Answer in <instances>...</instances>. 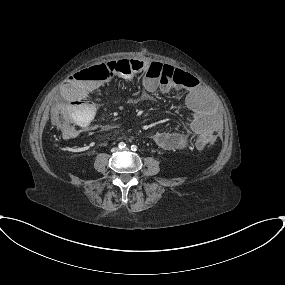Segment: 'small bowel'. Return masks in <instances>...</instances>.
Here are the masks:
<instances>
[{
  "label": "small bowel",
  "mask_w": 285,
  "mask_h": 285,
  "mask_svg": "<svg viewBox=\"0 0 285 285\" xmlns=\"http://www.w3.org/2000/svg\"><path fill=\"white\" fill-rule=\"evenodd\" d=\"M137 62L142 64L141 70L145 72L154 63L151 60ZM183 74L185 75V83L182 85H175L169 88L160 84L156 79L145 76L143 78V86L148 92L160 90L164 93L172 91H182L184 93V106L192 115L189 130L198 138L196 142L197 147L202 148L201 137L205 134H216L219 124L216 118L207 110L205 106V91L196 84L194 75L185 71H183ZM107 79V76L99 80H84L70 77L63 85L61 96L66 101L68 108L76 111L75 122L77 128L73 133L66 135L67 137H76L85 130L97 127L96 124L91 123L82 125L81 118H86L95 113V107L89 101V95L103 86ZM189 130L158 131L153 134L152 139L162 149H181L188 144Z\"/></svg>",
  "instance_id": "small-bowel-1"
}]
</instances>
